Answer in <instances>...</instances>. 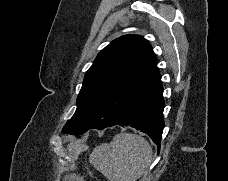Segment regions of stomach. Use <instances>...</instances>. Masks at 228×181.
<instances>
[{
    "instance_id": "stomach-1",
    "label": "stomach",
    "mask_w": 228,
    "mask_h": 181,
    "mask_svg": "<svg viewBox=\"0 0 228 181\" xmlns=\"http://www.w3.org/2000/svg\"><path fill=\"white\" fill-rule=\"evenodd\" d=\"M63 181H84V179L79 175H65Z\"/></svg>"
}]
</instances>
